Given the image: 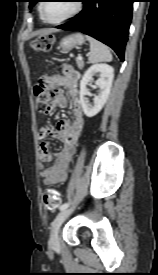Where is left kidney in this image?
Wrapping results in <instances>:
<instances>
[{
	"mask_svg": "<svg viewBox=\"0 0 158 275\" xmlns=\"http://www.w3.org/2000/svg\"><path fill=\"white\" fill-rule=\"evenodd\" d=\"M96 74L99 75V78L95 82L99 87V93L94 97V103L92 105L85 95L87 92V84L92 81L93 76ZM113 78L114 69L106 63L94 64L84 73L80 82L79 95L80 103L87 117H93L101 111L108 99Z\"/></svg>",
	"mask_w": 158,
	"mask_h": 275,
	"instance_id": "1",
	"label": "left kidney"
}]
</instances>
